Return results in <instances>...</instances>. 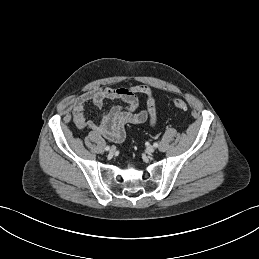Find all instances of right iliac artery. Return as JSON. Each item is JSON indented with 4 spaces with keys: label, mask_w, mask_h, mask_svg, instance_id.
<instances>
[{
    "label": "right iliac artery",
    "mask_w": 259,
    "mask_h": 259,
    "mask_svg": "<svg viewBox=\"0 0 259 259\" xmlns=\"http://www.w3.org/2000/svg\"><path fill=\"white\" fill-rule=\"evenodd\" d=\"M110 149V146H106L105 150L108 151Z\"/></svg>",
    "instance_id": "1"
}]
</instances>
